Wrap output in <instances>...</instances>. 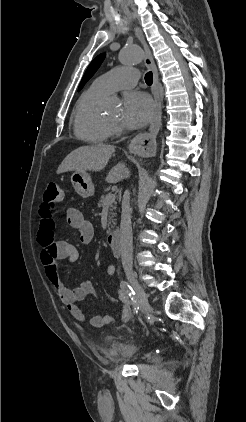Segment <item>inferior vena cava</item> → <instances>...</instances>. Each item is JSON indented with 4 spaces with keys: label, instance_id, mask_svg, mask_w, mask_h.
Returning <instances> with one entry per match:
<instances>
[{
    "label": "inferior vena cava",
    "instance_id": "obj_1",
    "mask_svg": "<svg viewBox=\"0 0 246 422\" xmlns=\"http://www.w3.org/2000/svg\"><path fill=\"white\" fill-rule=\"evenodd\" d=\"M120 231L122 265L125 271H132L133 248L129 190H126L123 195Z\"/></svg>",
    "mask_w": 246,
    "mask_h": 422
}]
</instances>
